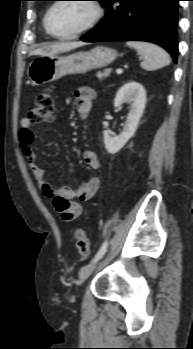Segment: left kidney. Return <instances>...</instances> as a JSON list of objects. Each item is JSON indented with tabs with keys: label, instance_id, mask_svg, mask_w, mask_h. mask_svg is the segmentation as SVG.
I'll list each match as a JSON object with an SVG mask.
<instances>
[{
	"label": "left kidney",
	"instance_id": "obj_1",
	"mask_svg": "<svg viewBox=\"0 0 193 349\" xmlns=\"http://www.w3.org/2000/svg\"><path fill=\"white\" fill-rule=\"evenodd\" d=\"M123 103L131 105L123 131L115 137H112L108 131H103L105 149L110 154L117 153L134 135L145 109L146 92L144 87L136 81L124 84L116 94L114 106L118 107Z\"/></svg>",
	"mask_w": 193,
	"mask_h": 349
}]
</instances>
